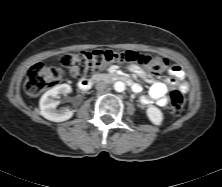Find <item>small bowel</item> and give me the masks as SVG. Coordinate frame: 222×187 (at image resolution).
<instances>
[{"label": "small bowel", "instance_id": "obj_1", "mask_svg": "<svg viewBox=\"0 0 222 187\" xmlns=\"http://www.w3.org/2000/svg\"><path fill=\"white\" fill-rule=\"evenodd\" d=\"M134 73L139 75L142 78L148 79L147 75L143 70H141L138 67H132L131 68ZM170 73L179 78H184V71L180 66L173 65L170 67ZM174 86H178L183 91H186L188 89V84L185 81H181L180 83L171 81ZM138 90L139 88L136 87ZM156 102L159 106H165L167 104V85L164 82H152L148 95L141 98V104L143 106H148L150 103Z\"/></svg>", "mask_w": 222, "mask_h": 187}]
</instances>
